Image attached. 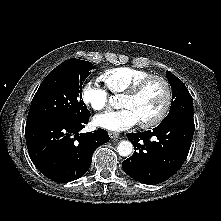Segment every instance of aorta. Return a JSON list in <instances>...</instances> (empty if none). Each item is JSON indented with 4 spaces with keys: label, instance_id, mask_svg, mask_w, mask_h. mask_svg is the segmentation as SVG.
Instances as JSON below:
<instances>
[{
    "label": "aorta",
    "instance_id": "1",
    "mask_svg": "<svg viewBox=\"0 0 221 221\" xmlns=\"http://www.w3.org/2000/svg\"><path fill=\"white\" fill-rule=\"evenodd\" d=\"M112 102V101H111ZM117 151L119 155L126 157L132 154L133 145L128 140H123L118 144Z\"/></svg>",
    "mask_w": 221,
    "mask_h": 221
}]
</instances>
